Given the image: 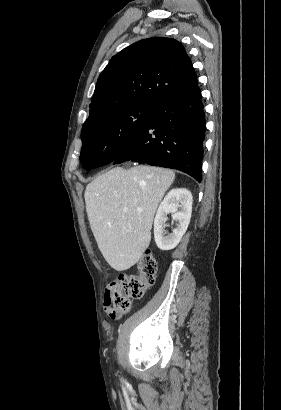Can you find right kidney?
<instances>
[{"label":"right kidney","instance_id":"ca27d5eb","mask_svg":"<svg viewBox=\"0 0 281 410\" xmlns=\"http://www.w3.org/2000/svg\"><path fill=\"white\" fill-rule=\"evenodd\" d=\"M192 194L185 188H174L161 202L154 219V238L159 249L167 251L175 248L185 234L191 219ZM180 209V210H178ZM172 213L177 227L166 235L167 215Z\"/></svg>","mask_w":281,"mask_h":410}]
</instances>
